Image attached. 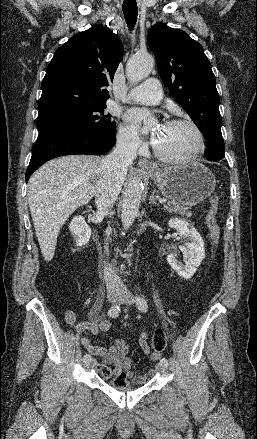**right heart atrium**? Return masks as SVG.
I'll return each mask as SVG.
<instances>
[{
    "label": "right heart atrium",
    "instance_id": "right-heart-atrium-1",
    "mask_svg": "<svg viewBox=\"0 0 257 439\" xmlns=\"http://www.w3.org/2000/svg\"><path fill=\"white\" fill-rule=\"evenodd\" d=\"M117 145L123 153L135 155L140 151L142 141L131 126L121 124L117 132Z\"/></svg>",
    "mask_w": 257,
    "mask_h": 439
}]
</instances>
